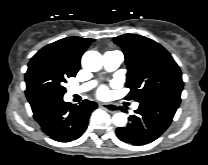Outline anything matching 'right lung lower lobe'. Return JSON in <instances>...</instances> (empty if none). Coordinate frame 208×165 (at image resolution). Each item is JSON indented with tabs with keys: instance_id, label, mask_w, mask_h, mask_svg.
I'll return each mask as SVG.
<instances>
[{
	"instance_id": "1",
	"label": "right lung lower lobe",
	"mask_w": 208,
	"mask_h": 165,
	"mask_svg": "<svg viewBox=\"0 0 208 165\" xmlns=\"http://www.w3.org/2000/svg\"><path fill=\"white\" fill-rule=\"evenodd\" d=\"M96 108L97 104L89 100H84L77 106L58 99L46 102L33 110V117L50 138L69 142L84 133L89 116Z\"/></svg>"
}]
</instances>
